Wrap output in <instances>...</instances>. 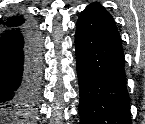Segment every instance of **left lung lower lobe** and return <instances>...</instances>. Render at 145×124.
<instances>
[{
  "instance_id": "1",
  "label": "left lung lower lobe",
  "mask_w": 145,
  "mask_h": 124,
  "mask_svg": "<svg viewBox=\"0 0 145 124\" xmlns=\"http://www.w3.org/2000/svg\"><path fill=\"white\" fill-rule=\"evenodd\" d=\"M81 124H131L124 53L112 16L89 5L76 24Z\"/></svg>"
}]
</instances>
